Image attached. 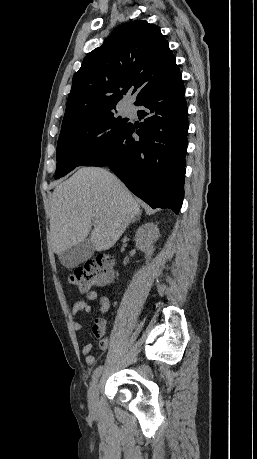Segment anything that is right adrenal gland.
I'll use <instances>...</instances> for the list:
<instances>
[{"label":"right adrenal gland","instance_id":"right-adrenal-gland-1","mask_svg":"<svg viewBox=\"0 0 257 459\" xmlns=\"http://www.w3.org/2000/svg\"><path fill=\"white\" fill-rule=\"evenodd\" d=\"M139 220H140V216H137V217L134 218L133 222L139 221Z\"/></svg>","mask_w":257,"mask_h":459}]
</instances>
